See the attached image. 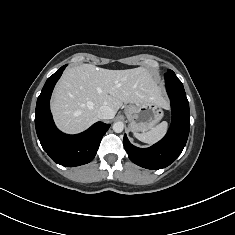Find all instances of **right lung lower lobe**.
Masks as SVG:
<instances>
[{
  "instance_id": "obj_1",
  "label": "right lung lower lobe",
  "mask_w": 235,
  "mask_h": 235,
  "mask_svg": "<svg viewBox=\"0 0 235 235\" xmlns=\"http://www.w3.org/2000/svg\"><path fill=\"white\" fill-rule=\"evenodd\" d=\"M65 67L66 65L62 66L47 79L37 99L35 127L40 143L51 159L60 165L73 167L93 160L110 124L97 122L77 135H67L56 128L49 102L53 88Z\"/></svg>"
}]
</instances>
